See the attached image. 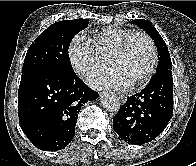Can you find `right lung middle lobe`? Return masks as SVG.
Returning a JSON list of instances; mask_svg holds the SVG:
<instances>
[{"instance_id": "obj_1", "label": "right lung middle lobe", "mask_w": 196, "mask_h": 166, "mask_svg": "<svg viewBox=\"0 0 196 166\" xmlns=\"http://www.w3.org/2000/svg\"><path fill=\"white\" fill-rule=\"evenodd\" d=\"M88 19L64 20L50 25L29 47L22 74L34 70H52L74 74L68 48L72 38L88 26Z\"/></svg>"}]
</instances>
